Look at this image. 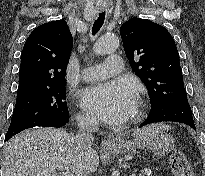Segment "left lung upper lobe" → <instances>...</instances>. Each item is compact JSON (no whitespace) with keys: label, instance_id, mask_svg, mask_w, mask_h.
Segmentation results:
<instances>
[{"label":"left lung upper lobe","instance_id":"5c2ea615","mask_svg":"<svg viewBox=\"0 0 205 176\" xmlns=\"http://www.w3.org/2000/svg\"><path fill=\"white\" fill-rule=\"evenodd\" d=\"M120 35L131 68L148 89L151 108L186 94L174 39L163 26L131 18L120 27Z\"/></svg>","mask_w":205,"mask_h":176}]
</instances>
